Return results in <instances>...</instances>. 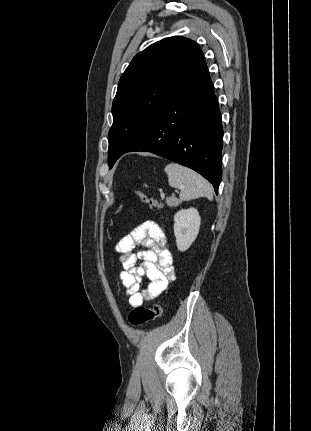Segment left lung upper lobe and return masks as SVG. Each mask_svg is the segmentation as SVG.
<instances>
[{"instance_id": "obj_1", "label": "left lung upper lobe", "mask_w": 311, "mask_h": 431, "mask_svg": "<svg viewBox=\"0 0 311 431\" xmlns=\"http://www.w3.org/2000/svg\"><path fill=\"white\" fill-rule=\"evenodd\" d=\"M204 61L199 45L181 36L158 41L133 58L120 78L112 105L110 169L145 135L166 103Z\"/></svg>"}]
</instances>
